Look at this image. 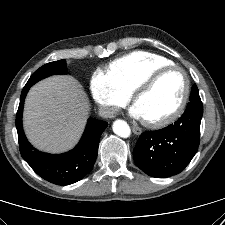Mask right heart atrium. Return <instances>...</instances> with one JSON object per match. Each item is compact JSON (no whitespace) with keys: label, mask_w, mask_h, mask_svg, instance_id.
<instances>
[{"label":"right heart atrium","mask_w":225,"mask_h":225,"mask_svg":"<svg viewBox=\"0 0 225 225\" xmlns=\"http://www.w3.org/2000/svg\"><path fill=\"white\" fill-rule=\"evenodd\" d=\"M90 89L94 100L108 116L117 114L130 100V95L125 93L108 73L101 70L93 73Z\"/></svg>","instance_id":"right-heart-atrium-1"}]
</instances>
